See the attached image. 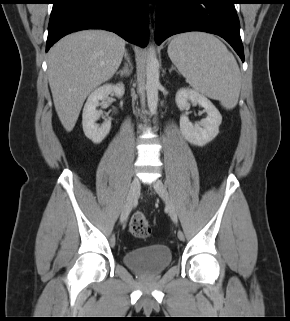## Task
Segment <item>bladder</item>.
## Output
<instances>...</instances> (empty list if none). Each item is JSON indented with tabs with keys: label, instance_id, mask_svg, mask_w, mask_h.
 Masks as SVG:
<instances>
[{
	"label": "bladder",
	"instance_id": "obj_1",
	"mask_svg": "<svg viewBox=\"0 0 290 321\" xmlns=\"http://www.w3.org/2000/svg\"><path fill=\"white\" fill-rule=\"evenodd\" d=\"M172 251L161 245H149L123 254L125 265L142 276H155L172 262Z\"/></svg>",
	"mask_w": 290,
	"mask_h": 321
}]
</instances>
